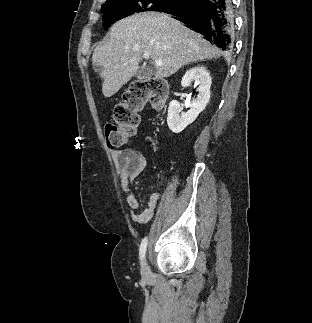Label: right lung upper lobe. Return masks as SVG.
<instances>
[{
    "instance_id": "obj_1",
    "label": "right lung upper lobe",
    "mask_w": 312,
    "mask_h": 323,
    "mask_svg": "<svg viewBox=\"0 0 312 323\" xmlns=\"http://www.w3.org/2000/svg\"><path fill=\"white\" fill-rule=\"evenodd\" d=\"M112 1H114V0H107L104 4H106V3H109V2H112ZM103 4V5H104ZM164 10V9H163ZM160 11H162V10H160Z\"/></svg>"
}]
</instances>
